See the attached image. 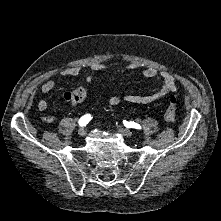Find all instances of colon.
Returning <instances> with one entry per match:
<instances>
[{"mask_svg": "<svg viewBox=\"0 0 221 221\" xmlns=\"http://www.w3.org/2000/svg\"><path fill=\"white\" fill-rule=\"evenodd\" d=\"M87 94L85 88H80L72 92L68 99L71 103L80 102ZM164 119L168 123H174L176 120V97L174 94H169L167 100V108L164 114Z\"/></svg>", "mask_w": 221, "mask_h": 221, "instance_id": "obj_1", "label": "colon"}]
</instances>
